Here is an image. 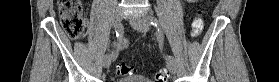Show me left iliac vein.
<instances>
[{"label": "left iliac vein", "instance_id": "1", "mask_svg": "<svg viewBox=\"0 0 279 82\" xmlns=\"http://www.w3.org/2000/svg\"><path fill=\"white\" fill-rule=\"evenodd\" d=\"M130 24L131 26L136 29L139 32H146L149 29L150 23L147 22L144 18L142 17H135L130 19ZM167 69L169 70L170 73L176 74L177 73V68L176 64L172 61L167 62Z\"/></svg>", "mask_w": 279, "mask_h": 82}]
</instances>
